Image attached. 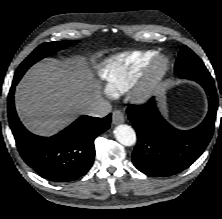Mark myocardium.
I'll return each instance as SVG.
<instances>
[{
    "label": "myocardium",
    "instance_id": "1",
    "mask_svg": "<svg viewBox=\"0 0 222 219\" xmlns=\"http://www.w3.org/2000/svg\"><path fill=\"white\" fill-rule=\"evenodd\" d=\"M169 59L158 55L146 68L142 79L133 88L131 96L136 100H143L150 96L160 85L169 70Z\"/></svg>",
    "mask_w": 222,
    "mask_h": 219
}]
</instances>
